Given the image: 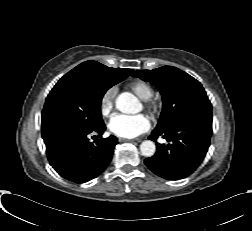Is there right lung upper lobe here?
Segmentation results:
<instances>
[{"instance_id":"cb5924a9","label":"right lung upper lobe","mask_w":252,"mask_h":231,"mask_svg":"<svg viewBox=\"0 0 252 231\" xmlns=\"http://www.w3.org/2000/svg\"><path fill=\"white\" fill-rule=\"evenodd\" d=\"M91 62H94V61H86L84 63L86 64V63H91ZM113 70H114V72H115L116 75H118V76H124L125 78L128 75H130L132 73V71H133L131 69H121V68H117V69H113Z\"/></svg>"}]
</instances>
